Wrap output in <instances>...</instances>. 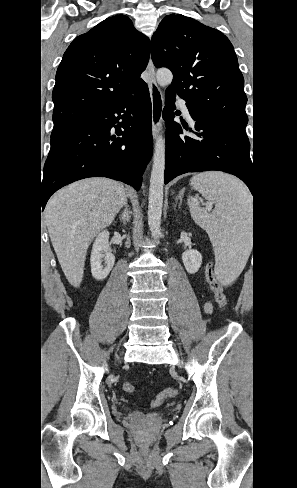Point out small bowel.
Masks as SVG:
<instances>
[{
  "instance_id": "small-bowel-1",
  "label": "small bowel",
  "mask_w": 297,
  "mask_h": 488,
  "mask_svg": "<svg viewBox=\"0 0 297 488\" xmlns=\"http://www.w3.org/2000/svg\"><path fill=\"white\" fill-rule=\"evenodd\" d=\"M212 303L211 302H206L205 303V306H204V309L206 311V313H211L212 312Z\"/></svg>"
}]
</instances>
